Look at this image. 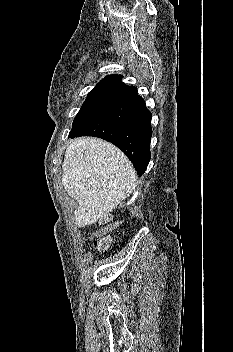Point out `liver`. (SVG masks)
I'll use <instances>...</instances> for the list:
<instances>
[{"label":"liver","instance_id":"1","mask_svg":"<svg viewBox=\"0 0 233 352\" xmlns=\"http://www.w3.org/2000/svg\"><path fill=\"white\" fill-rule=\"evenodd\" d=\"M62 169L64 188L79 204L75 212L79 227L108 216L136 188V172L129 159L102 139L72 141Z\"/></svg>","mask_w":233,"mask_h":352}]
</instances>
